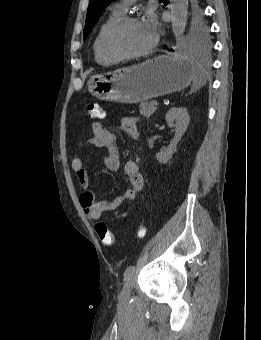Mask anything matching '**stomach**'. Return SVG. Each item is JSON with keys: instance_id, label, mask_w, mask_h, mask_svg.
Listing matches in <instances>:
<instances>
[{"instance_id": "stomach-1", "label": "stomach", "mask_w": 261, "mask_h": 340, "mask_svg": "<svg viewBox=\"0 0 261 340\" xmlns=\"http://www.w3.org/2000/svg\"><path fill=\"white\" fill-rule=\"evenodd\" d=\"M195 66L187 59L161 55L141 64L91 77L89 92L101 100L135 104L189 86Z\"/></svg>"}]
</instances>
